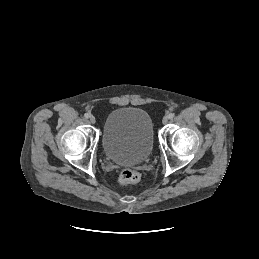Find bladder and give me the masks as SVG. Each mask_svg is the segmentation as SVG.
<instances>
[{
    "instance_id": "31cf9c89",
    "label": "bladder",
    "mask_w": 259,
    "mask_h": 259,
    "mask_svg": "<svg viewBox=\"0 0 259 259\" xmlns=\"http://www.w3.org/2000/svg\"><path fill=\"white\" fill-rule=\"evenodd\" d=\"M101 141L105 156L115 163L134 165L145 162L153 150L152 120L142 109L117 108L104 122Z\"/></svg>"
}]
</instances>
